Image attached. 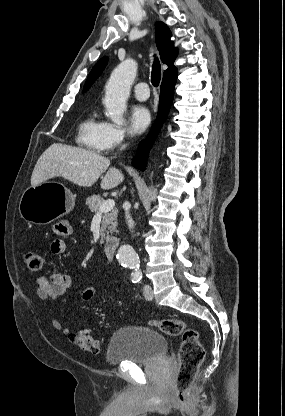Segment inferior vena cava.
Masks as SVG:
<instances>
[{
  "mask_svg": "<svg viewBox=\"0 0 285 416\" xmlns=\"http://www.w3.org/2000/svg\"><path fill=\"white\" fill-rule=\"evenodd\" d=\"M121 150H124V146H123V148H121ZM124 208H126L125 214H126L127 224H128V226H129V228L131 230V228H133V226H134V222H133V220H132V218H131V216L129 214V204H128V202H125Z\"/></svg>",
  "mask_w": 285,
  "mask_h": 416,
  "instance_id": "obj_1",
  "label": "inferior vena cava"
}]
</instances>
